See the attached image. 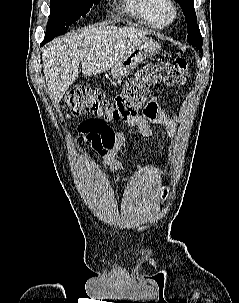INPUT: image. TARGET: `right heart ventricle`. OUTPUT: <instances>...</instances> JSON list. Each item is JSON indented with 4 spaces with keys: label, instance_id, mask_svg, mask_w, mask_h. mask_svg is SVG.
<instances>
[{
    "label": "right heart ventricle",
    "instance_id": "right-heart-ventricle-1",
    "mask_svg": "<svg viewBox=\"0 0 239 303\" xmlns=\"http://www.w3.org/2000/svg\"><path fill=\"white\" fill-rule=\"evenodd\" d=\"M128 13L143 24L154 29H163L171 21L170 0H124Z\"/></svg>",
    "mask_w": 239,
    "mask_h": 303
}]
</instances>
